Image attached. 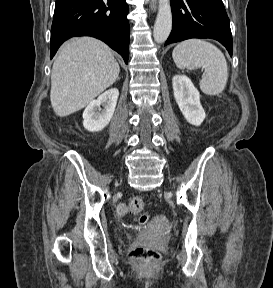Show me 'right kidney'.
<instances>
[{
    "instance_id": "obj_1",
    "label": "right kidney",
    "mask_w": 273,
    "mask_h": 288,
    "mask_svg": "<svg viewBox=\"0 0 273 288\" xmlns=\"http://www.w3.org/2000/svg\"><path fill=\"white\" fill-rule=\"evenodd\" d=\"M118 97V89L111 88L90 102L83 112L84 128L90 132L104 129L113 117Z\"/></svg>"
}]
</instances>
